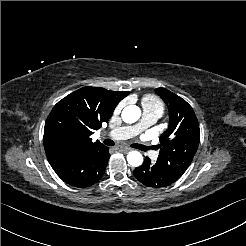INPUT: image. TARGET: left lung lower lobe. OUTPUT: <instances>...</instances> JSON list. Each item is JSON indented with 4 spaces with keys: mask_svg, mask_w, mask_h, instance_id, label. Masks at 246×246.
Wrapping results in <instances>:
<instances>
[{
    "mask_svg": "<svg viewBox=\"0 0 246 246\" xmlns=\"http://www.w3.org/2000/svg\"><path fill=\"white\" fill-rule=\"evenodd\" d=\"M134 175L144 185L154 188L169 186L179 179L157 161L152 163L148 157L140 167L135 168Z\"/></svg>",
    "mask_w": 246,
    "mask_h": 246,
    "instance_id": "obj_1",
    "label": "left lung lower lobe"
}]
</instances>
